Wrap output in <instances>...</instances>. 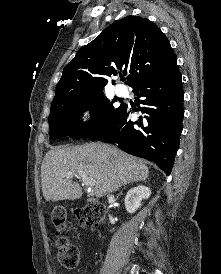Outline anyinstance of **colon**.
I'll return each instance as SVG.
<instances>
[{
    "instance_id": "colon-1",
    "label": "colon",
    "mask_w": 221,
    "mask_h": 274,
    "mask_svg": "<svg viewBox=\"0 0 221 274\" xmlns=\"http://www.w3.org/2000/svg\"><path fill=\"white\" fill-rule=\"evenodd\" d=\"M75 217L84 226H98L104 218L102 205L93 203L74 212ZM67 211L64 206L57 205L51 211V224L57 233L58 260L62 266L73 269L79 264L80 253L76 246L71 245L63 235L66 227Z\"/></svg>"
}]
</instances>
